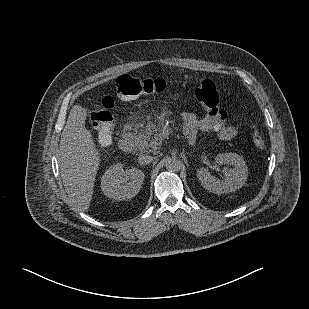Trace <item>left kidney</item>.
Returning <instances> with one entry per match:
<instances>
[{"label": "left kidney", "instance_id": "obj_1", "mask_svg": "<svg viewBox=\"0 0 309 309\" xmlns=\"http://www.w3.org/2000/svg\"><path fill=\"white\" fill-rule=\"evenodd\" d=\"M218 164H230L232 168L224 170L222 180L214 177L208 169L202 167L197 170V178L202 187L217 195L234 192L241 188L248 178V167L237 153H220L215 157Z\"/></svg>", "mask_w": 309, "mask_h": 309}]
</instances>
